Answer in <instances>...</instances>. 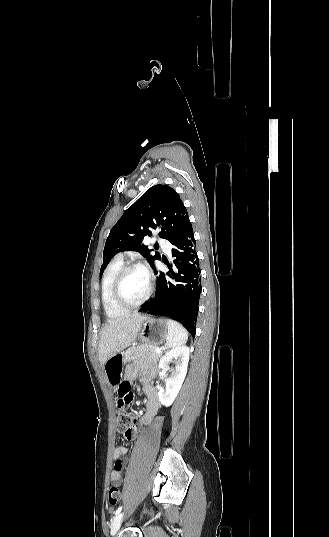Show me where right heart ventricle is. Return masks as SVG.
I'll list each match as a JSON object with an SVG mask.
<instances>
[{"instance_id": "1", "label": "right heart ventricle", "mask_w": 329, "mask_h": 537, "mask_svg": "<svg viewBox=\"0 0 329 537\" xmlns=\"http://www.w3.org/2000/svg\"><path fill=\"white\" fill-rule=\"evenodd\" d=\"M123 266V259L114 258L106 268L101 282V301L105 313L109 317H118L124 315L127 310L118 306L114 300L113 288L115 278Z\"/></svg>"}]
</instances>
